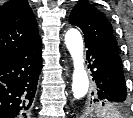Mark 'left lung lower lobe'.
<instances>
[{
  "label": "left lung lower lobe",
  "mask_w": 133,
  "mask_h": 118,
  "mask_svg": "<svg viewBox=\"0 0 133 118\" xmlns=\"http://www.w3.org/2000/svg\"><path fill=\"white\" fill-rule=\"evenodd\" d=\"M85 45L88 49L89 68L95 81L92 94L97 97L98 101L126 104L127 89L119 54L108 51L91 41L85 40Z\"/></svg>",
  "instance_id": "1"
}]
</instances>
